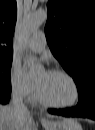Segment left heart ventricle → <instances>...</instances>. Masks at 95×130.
Wrapping results in <instances>:
<instances>
[{
    "label": "left heart ventricle",
    "instance_id": "1",
    "mask_svg": "<svg viewBox=\"0 0 95 130\" xmlns=\"http://www.w3.org/2000/svg\"><path fill=\"white\" fill-rule=\"evenodd\" d=\"M43 96L54 103L68 104L75 98L72 83L61 74L42 72L36 78Z\"/></svg>",
    "mask_w": 95,
    "mask_h": 130
}]
</instances>
